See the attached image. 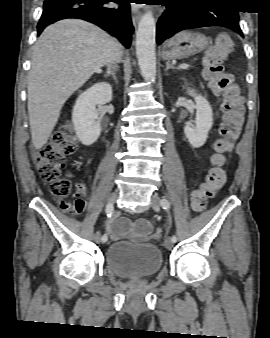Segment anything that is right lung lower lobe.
Listing matches in <instances>:
<instances>
[{
  "label": "right lung lower lobe",
  "mask_w": 270,
  "mask_h": 338,
  "mask_svg": "<svg viewBox=\"0 0 270 338\" xmlns=\"http://www.w3.org/2000/svg\"><path fill=\"white\" fill-rule=\"evenodd\" d=\"M108 2L121 4L118 8H109ZM129 3V0H45L37 32L40 35L46 26L58 20L79 18L98 25L129 48L134 29Z\"/></svg>",
  "instance_id": "1"
}]
</instances>
